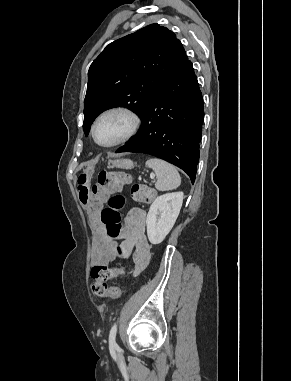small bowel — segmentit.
<instances>
[{"instance_id": "obj_1", "label": "small bowel", "mask_w": 291, "mask_h": 381, "mask_svg": "<svg viewBox=\"0 0 291 381\" xmlns=\"http://www.w3.org/2000/svg\"><path fill=\"white\" fill-rule=\"evenodd\" d=\"M93 218L99 219L100 209L92 211ZM147 213L140 208L130 210L126 217L124 230V242L122 248L125 256H132L135 269L138 274L145 269L151 259V245L146 236ZM117 253V245L112 237L108 236L104 229L99 228L95 235L92 263L110 265L114 262Z\"/></svg>"}]
</instances>
